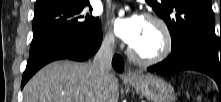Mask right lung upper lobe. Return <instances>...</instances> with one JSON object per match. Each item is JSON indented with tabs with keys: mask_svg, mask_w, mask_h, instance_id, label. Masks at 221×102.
Here are the masks:
<instances>
[{
	"mask_svg": "<svg viewBox=\"0 0 221 102\" xmlns=\"http://www.w3.org/2000/svg\"><path fill=\"white\" fill-rule=\"evenodd\" d=\"M44 1H46V0H37L36 4L42 3Z\"/></svg>",
	"mask_w": 221,
	"mask_h": 102,
	"instance_id": "1",
	"label": "right lung upper lobe"
}]
</instances>
